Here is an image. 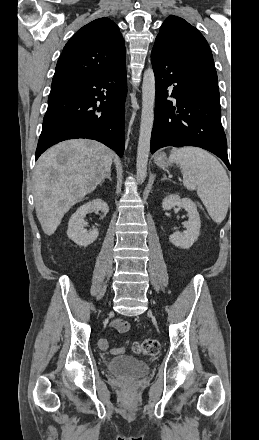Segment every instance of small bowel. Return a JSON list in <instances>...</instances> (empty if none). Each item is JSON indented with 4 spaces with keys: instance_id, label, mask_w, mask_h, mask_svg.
Wrapping results in <instances>:
<instances>
[{
    "instance_id": "small-bowel-1",
    "label": "small bowel",
    "mask_w": 259,
    "mask_h": 440,
    "mask_svg": "<svg viewBox=\"0 0 259 440\" xmlns=\"http://www.w3.org/2000/svg\"><path fill=\"white\" fill-rule=\"evenodd\" d=\"M112 327H114L117 331L124 333L130 329V323L128 321H124L122 319H115L112 321ZM99 346L103 350L109 349V344L107 340H101L99 342ZM124 351V348H112L110 349L111 353H122Z\"/></svg>"
}]
</instances>
